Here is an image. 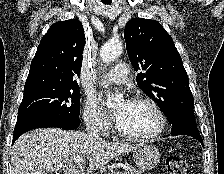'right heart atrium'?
Returning a JSON list of instances; mask_svg holds the SVG:
<instances>
[{"label":"right heart atrium","instance_id":"right-heart-atrium-1","mask_svg":"<svg viewBox=\"0 0 224 174\" xmlns=\"http://www.w3.org/2000/svg\"><path fill=\"white\" fill-rule=\"evenodd\" d=\"M87 126L102 135H106L112 128V124L94 97H88L83 111Z\"/></svg>","mask_w":224,"mask_h":174}]
</instances>
